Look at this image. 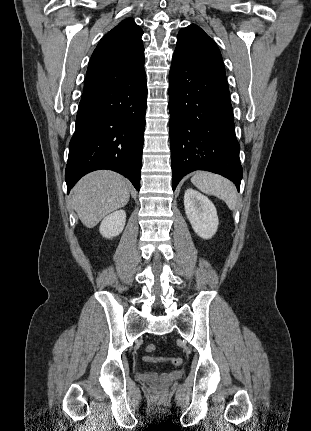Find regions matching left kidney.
Masks as SVG:
<instances>
[{
  "label": "left kidney",
  "instance_id": "left-kidney-1",
  "mask_svg": "<svg viewBox=\"0 0 311 431\" xmlns=\"http://www.w3.org/2000/svg\"><path fill=\"white\" fill-rule=\"evenodd\" d=\"M184 208L197 235L210 239L216 233L219 223L217 210L206 196L188 188L184 194Z\"/></svg>",
  "mask_w": 311,
  "mask_h": 431
}]
</instances>
